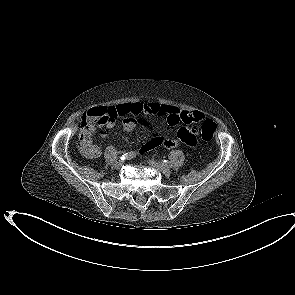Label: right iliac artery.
<instances>
[{"instance_id": "obj_1", "label": "right iliac artery", "mask_w": 295, "mask_h": 295, "mask_svg": "<svg viewBox=\"0 0 295 295\" xmlns=\"http://www.w3.org/2000/svg\"><path fill=\"white\" fill-rule=\"evenodd\" d=\"M136 156V153L131 151V152H128V153H124L123 155L120 156V159L121 160H126V159H131L133 157Z\"/></svg>"}]
</instances>
